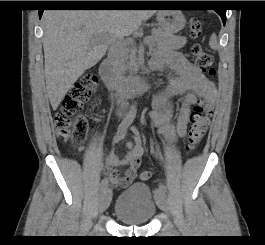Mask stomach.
<instances>
[{
  "instance_id": "0dacf381",
  "label": "stomach",
  "mask_w": 265,
  "mask_h": 245,
  "mask_svg": "<svg viewBox=\"0 0 265 245\" xmlns=\"http://www.w3.org/2000/svg\"><path fill=\"white\" fill-rule=\"evenodd\" d=\"M158 26L166 33H177L186 24L183 13L179 10H165L157 13Z\"/></svg>"
}]
</instances>
